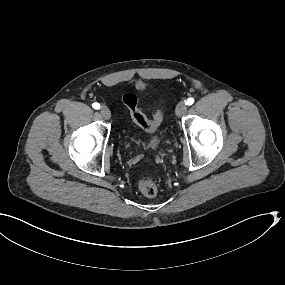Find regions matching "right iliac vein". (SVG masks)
<instances>
[{"label": "right iliac vein", "instance_id": "63e3f726", "mask_svg": "<svg viewBox=\"0 0 285 285\" xmlns=\"http://www.w3.org/2000/svg\"><path fill=\"white\" fill-rule=\"evenodd\" d=\"M100 113H101V115L103 116V118L106 119V120H109V119L111 118V112H110V110H109L107 107H105V106H102V107L100 108Z\"/></svg>", "mask_w": 285, "mask_h": 285}]
</instances>
